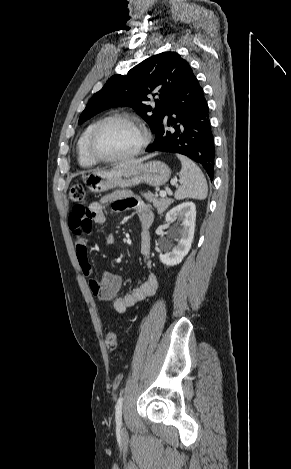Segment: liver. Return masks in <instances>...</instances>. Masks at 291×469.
<instances>
[{"label": "liver", "mask_w": 291, "mask_h": 469, "mask_svg": "<svg viewBox=\"0 0 291 469\" xmlns=\"http://www.w3.org/2000/svg\"><path fill=\"white\" fill-rule=\"evenodd\" d=\"M150 156H146V157H143V158H140V159H136V160H129V161H125L119 165H116L114 168H119V167H123V166H127V165H132V164H137V163H141L143 162L144 160L148 159Z\"/></svg>", "instance_id": "6515ba94"}]
</instances>
